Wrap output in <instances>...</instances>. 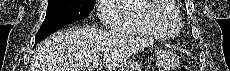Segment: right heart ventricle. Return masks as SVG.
<instances>
[{
    "label": "right heart ventricle",
    "instance_id": "1",
    "mask_svg": "<svg viewBox=\"0 0 230 71\" xmlns=\"http://www.w3.org/2000/svg\"><path fill=\"white\" fill-rule=\"evenodd\" d=\"M111 29L154 38H172L179 34L178 8L171 0H124L109 8Z\"/></svg>",
    "mask_w": 230,
    "mask_h": 71
}]
</instances>
